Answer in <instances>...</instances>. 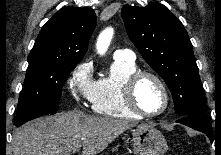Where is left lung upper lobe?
I'll list each match as a JSON object with an SVG mask.
<instances>
[{
    "instance_id": "obj_1",
    "label": "left lung upper lobe",
    "mask_w": 221,
    "mask_h": 155,
    "mask_svg": "<svg viewBox=\"0 0 221 155\" xmlns=\"http://www.w3.org/2000/svg\"><path fill=\"white\" fill-rule=\"evenodd\" d=\"M122 17L129 38L146 62L164 79L181 117L206 115L204 90L188 34L164 5H125Z\"/></svg>"
}]
</instances>
